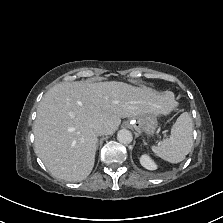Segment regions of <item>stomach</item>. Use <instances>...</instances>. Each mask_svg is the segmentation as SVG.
<instances>
[{"mask_svg": "<svg viewBox=\"0 0 223 223\" xmlns=\"http://www.w3.org/2000/svg\"><path fill=\"white\" fill-rule=\"evenodd\" d=\"M157 124L156 115L150 113L137 116L132 120V126L137 132H145L148 135L154 133Z\"/></svg>", "mask_w": 223, "mask_h": 223, "instance_id": "stomach-1", "label": "stomach"}]
</instances>
